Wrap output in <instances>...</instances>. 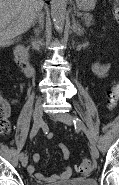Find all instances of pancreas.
Instances as JSON below:
<instances>
[{"label": "pancreas", "mask_w": 119, "mask_h": 185, "mask_svg": "<svg viewBox=\"0 0 119 185\" xmlns=\"http://www.w3.org/2000/svg\"><path fill=\"white\" fill-rule=\"evenodd\" d=\"M82 20L84 21L85 25L91 26L93 21V15L90 13H85L81 15Z\"/></svg>", "instance_id": "obj_1"}]
</instances>
